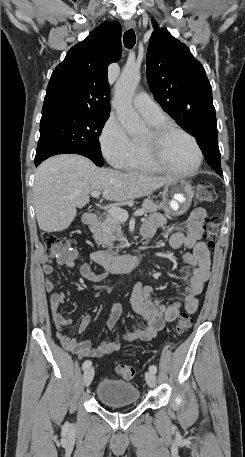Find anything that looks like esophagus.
Listing matches in <instances>:
<instances>
[{
  "label": "esophagus",
  "instance_id": "34e87169",
  "mask_svg": "<svg viewBox=\"0 0 245 457\" xmlns=\"http://www.w3.org/2000/svg\"><path fill=\"white\" fill-rule=\"evenodd\" d=\"M124 24H125V27L129 28V29L135 28V26H136V22H135V20H133V18H131L130 20H126Z\"/></svg>",
  "mask_w": 245,
  "mask_h": 457
}]
</instances>
